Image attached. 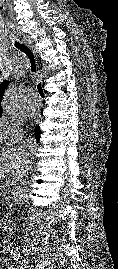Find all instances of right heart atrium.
<instances>
[{"label": "right heart atrium", "instance_id": "right-heart-atrium-1", "mask_svg": "<svg viewBox=\"0 0 118 269\" xmlns=\"http://www.w3.org/2000/svg\"><path fill=\"white\" fill-rule=\"evenodd\" d=\"M22 115L14 112L8 113L7 123L13 127H19L22 123Z\"/></svg>", "mask_w": 118, "mask_h": 269}]
</instances>
